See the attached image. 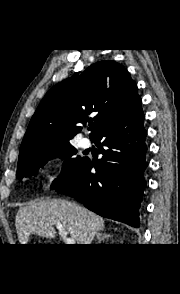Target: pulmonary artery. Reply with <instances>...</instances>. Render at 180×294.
Masks as SVG:
<instances>
[{
  "mask_svg": "<svg viewBox=\"0 0 180 294\" xmlns=\"http://www.w3.org/2000/svg\"><path fill=\"white\" fill-rule=\"evenodd\" d=\"M91 144V141L88 138H83L81 140V146L82 147H88Z\"/></svg>",
  "mask_w": 180,
  "mask_h": 294,
  "instance_id": "obj_1",
  "label": "pulmonary artery"
}]
</instances>
